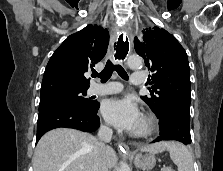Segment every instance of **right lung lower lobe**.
<instances>
[{
    "instance_id": "98d812e1",
    "label": "right lung lower lobe",
    "mask_w": 223,
    "mask_h": 171,
    "mask_svg": "<svg viewBox=\"0 0 223 171\" xmlns=\"http://www.w3.org/2000/svg\"><path fill=\"white\" fill-rule=\"evenodd\" d=\"M93 109L75 104H54L39 110L36 143L49 130L59 127L74 128L85 132H94L100 122L97 111L100 104L96 102Z\"/></svg>"
}]
</instances>
